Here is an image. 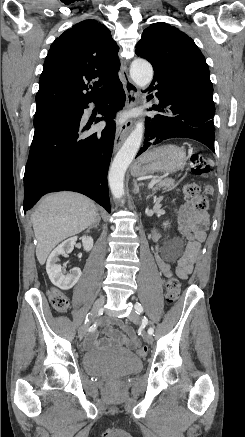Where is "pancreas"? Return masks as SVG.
I'll use <instances>...</instances> for the list:
<instances>
[{
  "instance_id": "cf45deb5",
  "label": "pancreas",
  "mask_w": 245,
  "mask_h": 437,
  "mask_svg": "<svg viewBox=\"0 0 245 437\" xmlns=\"http://www.w3.org/2000/svg\"><path fill=\"white\" fill-rule=\"evenodd\" d=\"M175 186L176 185H175L174 179H172V178L163 179L157 183V186H156V188H154V191H156L160 188H163L164 190L169 191V190H172L173 188H175Z\"/></svg>"
}]
</instances>
